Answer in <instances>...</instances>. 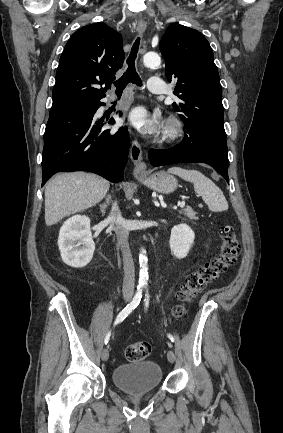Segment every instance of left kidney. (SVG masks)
<instances>
[{
	"instance_id": "5707ae66",
	"label": "left kidney",
	"mask_w": 283,
	"mask_h": 433,
	"mask_svg": "<svg viewBox=\"0 0 283 433\" xmlns=\"http://www.w3.org/2000/svg\"><path fill=\"white\" fill-rule=\"evenodd\" d=\"M194 239V231L187 224L174 226L169 239L172 254L178 259L185 258L194 243Z\"/></svg>"
}]
</instances>
